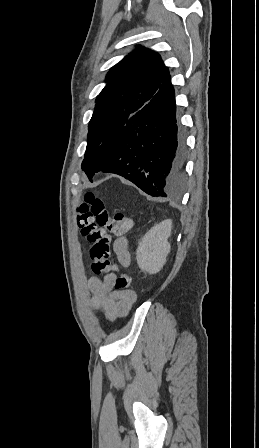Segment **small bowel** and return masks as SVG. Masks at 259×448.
Listing matches in <instances>:
<instances>
[{"mask_svg": "<svg viewBox=\"0 0 259 448\" xmlns=\"http://www.w3.org/2000/svg\"><path fill=\"white\" fill-rule=\"evenodd\" d=\"M113 251L120 266L128 267L130 265L131 254L127 238H117L113 243ZM115 280L114 272L106 273L103 279L90 276L88 280L90 290L93 293L92 307L103 309L106 319L111 323L124 317L136 299L133 291L114 290Z\"/></svg>", "mask_w": 259, "mask_h": 448, "instance_id": "c3829d8e", "label": "small bowel"}]
</instances>
